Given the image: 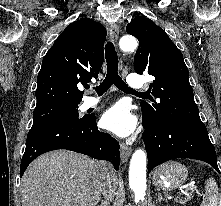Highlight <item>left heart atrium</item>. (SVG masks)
Segmentation results:
<instances>
[{"label": "left heart atrium", "mask_w": 221, "mask_h": 206, "mask_svg": "<svg viewBox=\"0 0 221 206\" xmlns=\"http://www.w3.org/2000/svg\"><path fill=\"white\" fill-rule=\"evenodd\" d=\"M101 125L119 136H127L134 131L136 122L128 107L119 102L104 112Z\"/></svg>", "instance_id": "1"}]
</instances>
